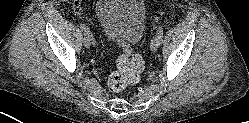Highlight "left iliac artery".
Segmentation results:
<instances>
[{"mask_svg": "<svg viewBox=\"0 0 249 123\" xmlns=\"http://www.w3.org/2000/svg\"><path fill=\"white\" fill-rule=\"evenodd\" d=\"M157 36L161 39L163 37V29L162 27H159L157 29Z\"/></svg>", "mask_w": 249, "mask_h": 123, "instance_id": "left-iliac-artery-1", "label": "left iliac artery"}]
</instances>
